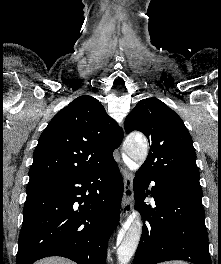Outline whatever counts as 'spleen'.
Instances as JSON below:
<instances>
[{
    "label": "spleen",
    "mask_w": 221,
    "mask_h": 264,
    "mask_svg": "<svg viewBox=\"0 0 221 264\" xmlns=\"http://www.w3.org/2000/svg\"><path fill=\"white\" fill-rule=\"evenodd\" d=\"M161 264H188V263L183 262V261H171V262H165Z\"/></svg>",
    "instance_id": "obj_1"
}]
</instances>
